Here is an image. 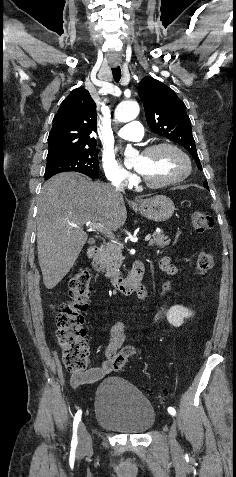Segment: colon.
Returning <instances> with one entry per match:
<instances>
[{"mask_svg":"<svg viewBox=\"0 0 236 477\" xmlns=\"http://www.w3.org/2000/svg\"><path fill=\"white\" fill-rule=\"evenodd\" d=\"M191 222L194 231L200 234L213 228L212 217L204 212H194ZM213 267L214 257L211 253L202 252L198 255L196 270L200 276H207ZM91 292L90 273L85 268H77L69 281V299L60 305L56 317V339L63 350V362L71 372H82L88 364L84 314L89 307ZM128 358L119 354L113 359L112 368L121 370Z\"/></svg>","mask_w":236,"mask_h":477,"instance_id":"1","label":"colon"}]
</instances>
